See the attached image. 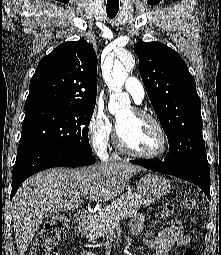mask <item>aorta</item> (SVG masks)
I'll return each instance as SVG.
<instances>
[{"label":"aorta","mask_w":221,"mask_h":255,"mask_svg":"<svg viewBox=\"0 0 221 255\" xmlns=\"http://www.w3.org/2000/svg\"><path fill=\"white\" fill-rule=\"evenodd\" d=\"M135 65L134 56L131 53H124L121 60L115 59L112 69L106 67L104 70V78L111 92L108 108L110 113L116 116L122 115L130 106L128 95L123 92L128 70H131Z\"/></svg>","instance_id":"obj_1"}]
</instances>
